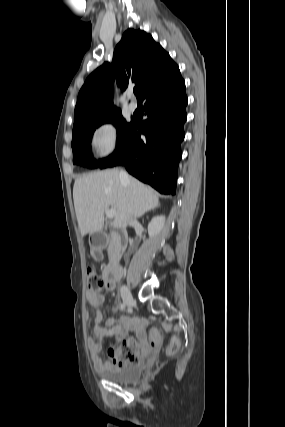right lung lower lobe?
Returning a JSON list of instances; mask_svg holds the SVG:
<instances>
[{
    "label": "right lung lower lobe",
    "instance_id": "right-lung-lower-lobe-1",
    "mask_svg": "<svg viewBox=\"0 0 285 427\" xmlns=\"http://www.w3.org/2000/svg\"><path fill=\"white\" fill-rule=\"evenodd\" d=\"M140 100L145 102L148 119L134 117L121 145L98 166L124 165L130 174L160 193L174 195L187 118L185 82L178 66L150 84Z\"/></svg>",
    "mask_w": 285,
    "mask_h": 427
}]
</instances>
